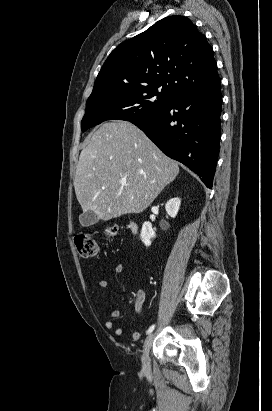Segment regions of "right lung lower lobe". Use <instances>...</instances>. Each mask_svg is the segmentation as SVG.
I'll list each match as a JSON object with an SVG mask.
<instances>
[{
  "label": "right lung lower lobe",
  "mask_w": 272,
  "mask_h": 411,
  "mask_svg": "<svg viewBox=\"0 0 272 411\" xmlns=\"http://www.w3.org/2000/svg\"><path fill=\"white\" fill-rule=\"evenodd\" d=\"M220 78L208 87L175 95L156 114L132 121L158 148L212 188L219 154Z\"/></svg>",
  "instance_id": "right-lung-lower-lobe-1"
}]
</instances>
